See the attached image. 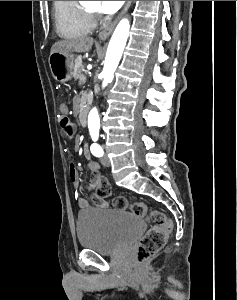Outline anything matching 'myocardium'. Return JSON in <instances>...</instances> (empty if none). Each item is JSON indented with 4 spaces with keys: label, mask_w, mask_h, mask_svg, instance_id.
Masks as SVG:
<instances>
[{
    "label": "myocardium",
    "mask_w": 237,
    "mask_h": 300,
    "mask_svg": "<svg viewBox=\"0 0 237 300\" xmlns=\"http://www.w3.org/2000/svg\"><path fill=\"white\" fill-rule=\"evenodd\" d=\"M83 10L92 18H96L99 15V11L98 10H92L88 7H84Z\"/></svg>",
    "instance_id": "f54148a6"
}]
</instances>
